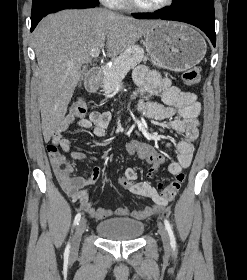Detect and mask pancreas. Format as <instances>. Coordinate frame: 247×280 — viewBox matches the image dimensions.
<instances>
[{
	"label": "pancreas",
	"instance_id": "obj_1",
	"mask_svg": "<svg viewBox=\"0 0 247 280\" xmlns=\"http://www.w3.org/2000/svg\"><path fill=\"white\" fill-rule=\"evenodd\" d=\"M147 56L142 47L134 45L126 49L117 57L111 67H105L103 71V88L105 94H110L122 81L128 70L134 68L140 62H146Z\"/></svg>",
	"mask_w": 247,
	"mask_h": 280
}]
</instances>
